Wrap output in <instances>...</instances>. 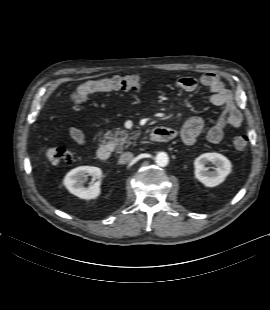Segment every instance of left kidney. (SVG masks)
I'll return each mask as SVG.
<instances>
[{
  "label": "left kidney",
  "mask_w": 270,
  "mask_h": 310,
  "mask_svg": "<svg viewBox=\"0 0 270 310\" xmlns=\"http://www.w3.org/2000/svg\"><path fill=\"white\" fill-rule=\"evenodd\" d=\"M211 162L215 165L214 171H208L205 166ZM195 178L207 187H215L221 184L231 173V162L219 153H204L194 161Z\"/></svg>",
  "instance_id": "1"
}]
</instances>
